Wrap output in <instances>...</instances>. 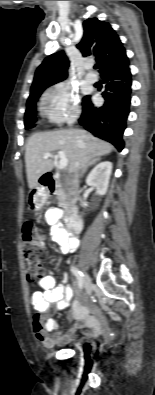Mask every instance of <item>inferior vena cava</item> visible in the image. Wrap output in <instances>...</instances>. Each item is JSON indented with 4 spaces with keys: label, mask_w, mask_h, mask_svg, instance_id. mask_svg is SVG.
Wrapping results in <instances>:
<instances>
[{
    "label": "inferior vena cava",
    "mask_w": 155,
    "mask_h": 395,
    "mask_svg": "<svg viewBox=\"0 0 155 395\" xmlns=\"http://www.w3.org/2000/svg\"><path fill=\"white\" fill-rule=\"evenodd\" d=\"M78 169H79V166H78V164L76 163L75 164V168H74V178H73V181H72V186L73 187H77L78 186V182H79V174H78Z\"/></svg>",
    "instance_id": "602c4592"
}]
</instances>
